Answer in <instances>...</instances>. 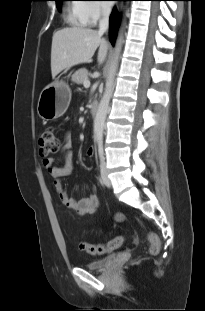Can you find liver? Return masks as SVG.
<instances>
[{
    "instance_id": "1",
    "label": "liver",
    "mask_w": 205,
    "mask_h": 311,
    "mask_svg": "<svg viewBox=\"0 0 205 311\" xmlns=\"http://www.w3.org/2000/svg\"><path fill=\"white\" fill-rule=\"evenodd\" d=\"M98 63L106 58L108 44L102 34L91 28L68 27L53 34L51 47V72L55 77L61 71L92 58L96 49Z\"/></svg>"
}]
</instances>
